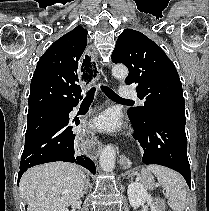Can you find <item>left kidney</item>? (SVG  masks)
Instances as JSON below:
<instances>
[{
	"label": "left kidney",
	"mask_w": 209,
	"mask_h": 211,
	"mask_svg": "<svg viewBox=\"0 0 209 211\" xmlns=\"http://www.w3.org/2000/svg\"><path fill=\"white\" fill-rule=\"evenodd\" d=\"M127 195L132 207L137 208L147 202L150 205L151 211H158L153 203L151 195L148 194L143 184L137 182L131 183L128 186Z\"/></svg>",
	"instance_id": "1"
}]
</instances>
